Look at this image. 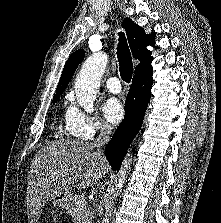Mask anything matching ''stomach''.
Segmentation results:
<instances>
[{"label":"stomach","mask_w":221,"mask_h":223,"mask_svg":"<svg viewBox=\"0 0 221 223\" xmlns=\"http://www.w3.org/2000/svg\"><path fill=\"white\" fill-rule=\"evenodd\" d=\"M72 197L71 191L67 188L53 194L50 200L56 207H65Z\"/></svg>","instance_id":"1"}]
</instances>
